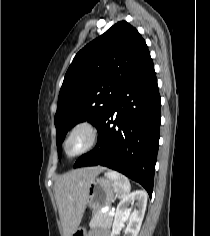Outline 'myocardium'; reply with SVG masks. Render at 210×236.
Masks as SVG:
<instances>
[{"label":"myocardium","mask_w":210,"mask_h":236,"mask_svg":"<svg viewBox=\"0 0 210 236\" xmlns=\"http://www.w3.org/2000/svg\"><path fill=\"white\" fill-rule=\"evenodd\" d=\"M77 132H84L86 134V142L81 148L71 152L69 150V143ZM99 137V128L93 121L89 119L79 120L70 127L64 137L62 143L63 153L69 159L77 158L94 148L99 141Z\"/></svg>","instance_id":"myocardium-1"}]
</instances>
